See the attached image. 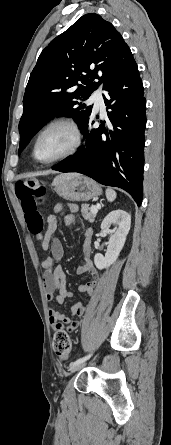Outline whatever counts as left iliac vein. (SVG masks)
I'll return each mask as SVG.
<instances>
[{
  "instance_id": "obj_1",
  "label": "left iliac vein",
  "mask_w": 171,
  "mask_h": 445,
  "mask_svg": "<svg viewBox=\"0 0 171 445\" xmlns=\"http://www.w3.org/2000/svg\"><path fill=\"white\" fill-rule=\"evenodd\" d=\"M86 364H87L86 361H84V362L78 364L77 366H75L74 368L71 369V372L80 370V369L83 368Z\"/></svg>"
}]
</instances>
